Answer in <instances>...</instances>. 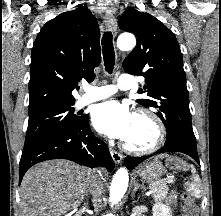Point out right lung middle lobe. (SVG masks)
Masks as SVG:
<instances>
[{
	"instance_id": "right-lung-middle-lobe-1",
	"label": "right lung middle lobe",
	"mask_w": 221,
	"mask_h": 216,
	"mask_svg": "<svg viewBox=\"0 0 221 216\" xmlns=\"http://www.w3.org/2000/svg\"><path fill=\"white\" fill-rule=\"evenodd\" d=\"M72 105L50 108L29 115L24 147L33 145L55 132L77 124L82 117L74 114Z\"/></svg>"
}]
</instances>
